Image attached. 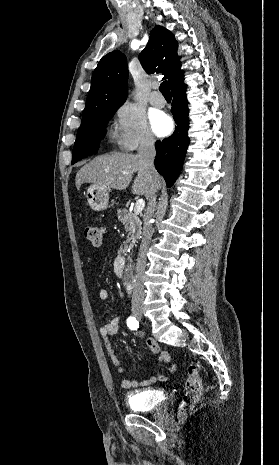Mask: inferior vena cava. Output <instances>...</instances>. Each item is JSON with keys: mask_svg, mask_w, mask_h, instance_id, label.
<instances>
[{"mask_svg": "<svg viewBox=\"0 0 279 465\" xmlns=\"http://www.w3.org/2000/svg\"><path fill=\"white\" fill-rule=\"evenodd\" d=\"M155 154L156 152H155L154 139L151 136H146L140 143L138 155L142 159L143 164L150 175L151 187H150L149 193L146 196L148 200V207L144 215L142 241L140 244V249H139V254H138L137 264H136V282L134 285V292H133V300L135 303H139L144 300L143 276H144L145 265H146V252L151 242V237L153 233L150 219L155 211V205H156V197H155L156 190H155L154 181H153V177L156 174V170L154 166Z\"/></svg>", "mask_w": 279, "mask_h": 465, "instance_id": "602c4592", "label": "inferior vena cava"}]
</instances>
